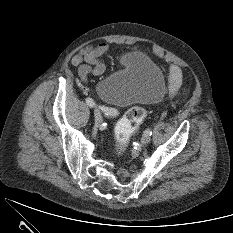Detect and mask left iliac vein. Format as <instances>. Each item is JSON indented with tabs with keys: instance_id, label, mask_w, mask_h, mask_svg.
<instances>
[{
	"instance_id": "1",
	"label": "left iliac vein",
	"mask_w": 233,
	"mask_h": 233,
	"mask_svg": "<svg viewBox=\"0 0 233 233\" xmlns=\"http://www.w3.org/2000/svg\"><path fill=\"white\" fill-rule=\"evenodd\" d=\"M150 140H151L150 136L147 135V134H144V135L142 136V138H141V143H142L143 145H146V144H148V143L150 142Z\"/></svg>"
}]
</instances>
